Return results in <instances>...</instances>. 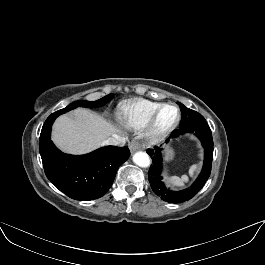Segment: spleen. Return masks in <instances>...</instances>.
<instances>
[{
    "mask_svg": "<svg viewBox=\"0 0 265 265\" xmlns=\"http://www.w3.org/2000/svg\"><path fill=\"white\" fill-rule=\"evenodd\" d=\"M199 166L197 164H194L189 169L190 176H193L194 173L198 170ZM188 181V177L186 175H183L181 178L177 176H173L169 178V182L174 186H182L185 182Z\"/></svg>",
    "mask_w": 265,
    "mask_h": 265,
    "instance_id": "1",
    "label": "spleen"
}]
</instances>
